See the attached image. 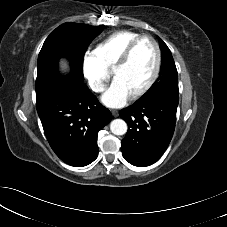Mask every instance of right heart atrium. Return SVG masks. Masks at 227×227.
Here are the masks:
<instances>
[{"label":"right heart atrium","mask_w":227,"mask_h":227,"mask_svg":"<svg viewBox=\"0 0 227 227\" xmlns=\"http://www.w3.org/2000/svg\"><path fill=\"white\" fill-rule=\"evenodd\" d=\"M82 73L94 92H102L110 78L109 71L94 52L86 51L82 57Z\"/></svg>","instance_id":"right-heart-atrium-1"}]
</instances>
